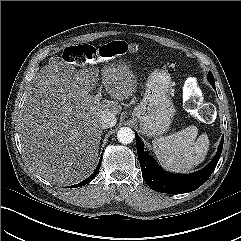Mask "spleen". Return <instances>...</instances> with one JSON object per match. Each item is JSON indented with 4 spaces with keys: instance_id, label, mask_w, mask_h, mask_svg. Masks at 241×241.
I'll use <instances>...</instances> for the list:
<instances>
[{
    "instance_id": "1",
    "label": "spleen",
    "mask_w": 241,
    "mask_h": 241,
    "mask_svg": "<svg viewBox=\"0 0 241 241\" xmlns=\"http://www.w3.org/2000/svg\"><path fill=\"white\" fill-rule=\"evenodd\" d=\"M197 127L189 126L153 141L154 153L161 165L170 171L186 173L202 163L209 150L207 134L197 138Z\"/></svg>"
}]
</instances>
